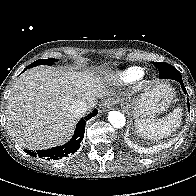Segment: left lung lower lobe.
<instances>
[{
    "label": "left lung lower lobe",
    "instance_id": "1",
    "mask_svg": "<svg viewBox=\"0 0 196 196\" xmlns=\"http://www.w3.org/2000/svg\"><path fill=\"white\" fill-rule=\"evenodd\" d=\"M164 69H170L169 67L165 66L163 67ZM159 78L163 79V78H168V79H174V80H177L180 84H181V87H182V90L183 92L186 94L187 91L184 87V84H183V81H182V77L181 76H178V75H175V74H171V75H168V74H165L164 76H159ZM188 110L190 111V106H189V100H188Z\"/></svg>",
    "mask_w": 196,
    "mask_h": 196
}]
</instances>
